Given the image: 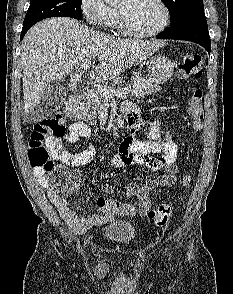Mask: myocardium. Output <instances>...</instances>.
I'll return each instance as SVG.
<instances>
[{"mask_svg":"<svg viewBox=\"0 0 233 294\" xmlns=\"http://www.w3.org/2000/svg\"><path fill=\"white\" fill-rule=\"evenodd\" d=\"M155 2L160 6V8L163 11V22L161 23V25L159 27H157L156 29L152 30V31H148V32H142V31H138L135 30L129 23V20L126 16V14L119 10V17H120V23H121V28L122 30L133 37H137V38H148V37H154L159 35L161 32H163L169 25L170 23V19H171V15H170V11L168 6L166 5V3L163 0H155Z\"/></svg>","mask_w":233,"mask_h":294,"instance_id":"myocardium-1","label":"myocardium"}]
</instances>
